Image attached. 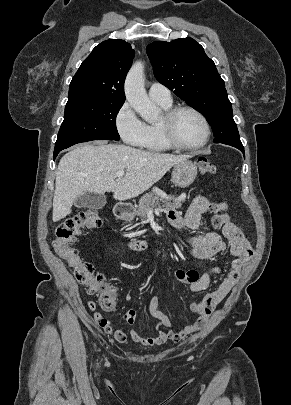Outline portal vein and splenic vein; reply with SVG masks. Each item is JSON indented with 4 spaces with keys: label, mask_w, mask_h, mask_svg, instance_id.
<instances>
[{
    "label": "portal vein and splenic vein",
    "mask_w": 291,
    "mask_h": 405,
    "mask_svg": "<svg viewBox=\"0 0 291 405\" xmlns=\"http://www.w3.org/2000/svg\"><path fill=\"white\" fill-rule=\"evenodd\" d=\"M124 175H125V171H119V172L116 173V177H117V178H121V177H123Z\"/></svg>",
    "instance_id": "18ae733b"
}]
</instances>
